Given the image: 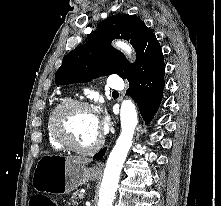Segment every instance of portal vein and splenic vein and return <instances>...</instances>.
<instances>
[{
  "label": "portal vein and splenic vein",
  "mask_w": 221,
  "mask_h": 206,
  "mask_svg": "<svg viewBox=\"0 0 221 206\" xmlns=\"http://www.w3.org/2000/svg\"><path fill=\"white\" fill-rule=\"evenodd\" d=\"M79 198H80V199H83V195H82V194H81V195H79Z\"/></svg>",
  "instance_id": "portal-vein-and-splenic-vein-1"
}]
</instances>
